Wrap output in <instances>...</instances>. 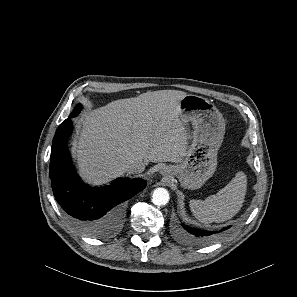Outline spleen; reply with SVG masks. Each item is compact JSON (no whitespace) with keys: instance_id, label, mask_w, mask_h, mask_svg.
<instances>
[{"instance_id":"1","label":"spleen","mask_w":297,"mask_h":297,"mask_svg":"<svg viewBox=\"0 0 297 297\" xmlns=\"http://www.w3.org/2000/svg\"><path fill=\"white\" fill-rule=\"evenodd\" d=\"M247 192V176L240 171L216 194L205 200H190L193 215L202 223L223 222L241 209Z\"/></svg>"}]
</instances>
